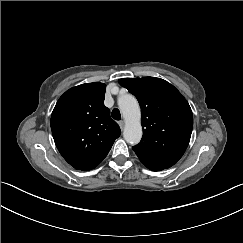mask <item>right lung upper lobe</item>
I'll return each mask as SVG.
<instances>
[{"label": "right lung upper lobe", "instance_id": "1", "mask_svg": "<svg viewBox=\"0 0 243 243\" xmlns=\"http://www.w3.org/2000/svg\"><path fill=\"white\" fill-rule=\"evenodd\" d=\"M105 89L99 82L75 86L59 98L52 112L56 147L75 169L95 168L120 136L118 124L104 106Z\"/></svg>", "mask_w": 243, "mask_h": 243}]
</instances>
